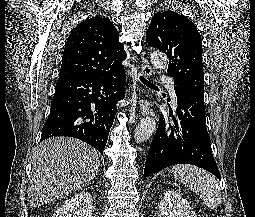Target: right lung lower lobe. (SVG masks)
I'll return each mask as SVG.
<instances>
[{
    "mask_svg": "<svg viewBox=\"0 0 255 217\" xmlns=\"http://www.w3.org/2000/svg\"><path fill=\"white\" fill-rule=\"evenodd\" d=\"M125 84L124 71L103 77L58 78L41 141L53 136L75 137L103 155Z\"/></svg>",
    "mask_w": 255,
    "mask_h": 217,
    "instance_id": "right-lung-lower-lobe-1",
    "label": "right lung lower lobe"
}]
</instances>
